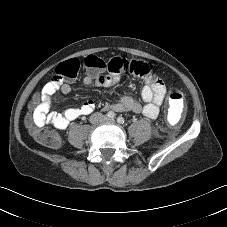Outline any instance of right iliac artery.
Masks as SVG:
<instances>
[{
    "mask_svg": "<svg viewBox=\"0 0 227 227\" xmlns=\"http://www.w3.org/2000/svg\"><path fill=\"white\" fill-rule=\"evenodd\" d=\"M107 116H108L109 118L113 119V118H115V113H114L113 111H109V112L107 113Z\"/></svg>",
    "mask_w": 227,
    "mask_h": 227,
    "instance_id": "82829eb1",
    "label": "right iliac artery"
}]
</instances>
